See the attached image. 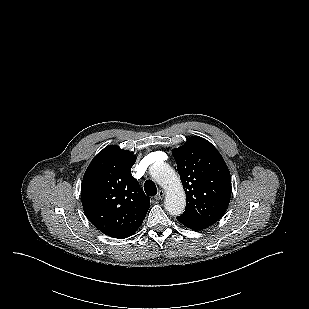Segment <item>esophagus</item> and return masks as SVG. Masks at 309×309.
<instances>
[{
	"instance_id": "34e87169",
	"label": "esophagus",
	"mask_w": 309,
	"mask_h": 309,
	"mask_svg": "<svg viewBox=\"0 0 309 309\" xmlns=\"http://www.w3.org/2000/svg\"><path fill=\"white\" fill-rule=\"evenodd\" d=\"M164 196H165V191L161 189V190L158 191L157 195L155 196V199L161 200V199H163Z\"/></svg>"
}]
</instances>
